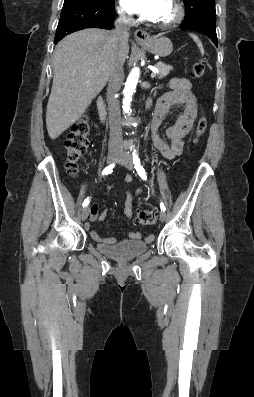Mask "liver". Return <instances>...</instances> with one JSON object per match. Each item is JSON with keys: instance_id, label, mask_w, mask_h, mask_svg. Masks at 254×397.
Returning <instances> with one entry per match:
<instances>
[{"instance_id": "obj_1", "label": "liver", "mask_w": 254, "mask_h": 397, "mask_svg": "<svg viewBox=\"0 0 254 397\" xmlns=\"http://www.w3.org/2000/svg\"><path fill=\"white\" fill-rule=\"evenodd\" d=\"M122 64L128 42L120 47ZM114 45L112 32L84 29L66 36L53 54V84L46 111L49 137L54 140L75 123L109 78Z\"/></svg>"}]
</instances>
